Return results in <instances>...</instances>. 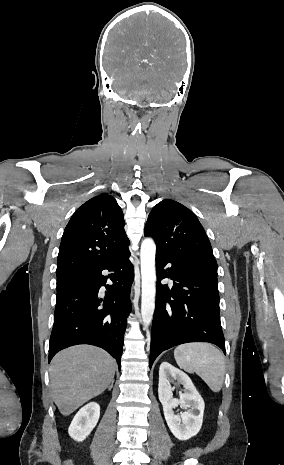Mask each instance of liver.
<instances>
[{"instance_id":"1","label":"liver","mask_w":284,"mask_h":465,"mask_svg":"<svg viewBox=\"0 0 284 465\" xmlns=\"http://www.w3.org/2000/svg\"><path fill=\"white\" fill-rule=\"evenodd\" d=\"M115 361L98 347L79 345L55 355L51 367V389L55 405L62 415H71L78 407L103 393L113 381Z\"/></svg>"}]
</instances>
